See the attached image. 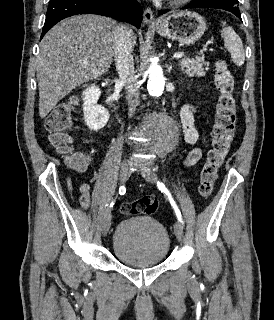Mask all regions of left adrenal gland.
I'll use <instances>...</instances> for the list:
<instances>
[{"mask_svg":"<svg viewBox=\"0 0 274 320\" xmlns=\"http://www.w3.org/2000/svg\"><path fill=\"white\" fill-rule=\"evenodd\" d=\"M169 68H170V70H171L172 66H169Z\"/></svg>","mask_w":274,"mask_h":320,"instance_id":"1","label":"left adrenal gland"}]
</instances>
